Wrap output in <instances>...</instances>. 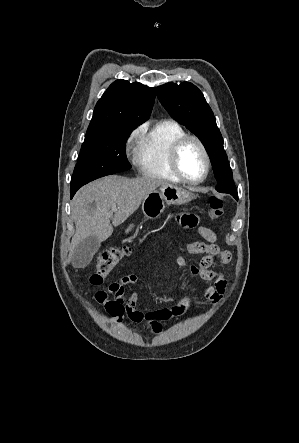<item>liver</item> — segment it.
<instances>
[{"instance_id": "liver-1", "label": "liver", "mask_w": 299, "mask_h": 443, "mask_svg": "<svg viewBox=\"0 0 299 443\" xmlns=\"http://www.w3.org/2000/svg\"><path fill=\"white\" fill-rule=\"evenodd\" d=\"M167 184L155 178L130 179L112 175L82 187L72 203L76 231L71 240L69 261L81 241L89 236L96 237L99 242L105 241L112 235L113 226L123 223L150 193Z\"/></svg>"}]
</instances>
